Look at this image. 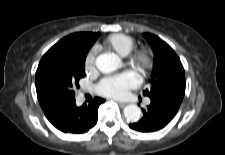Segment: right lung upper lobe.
Instances as JSON below:
<instances>
[{
	"instance_id": "1",
	"label": "right lung upper lobe",
	"mask_w": 225,
	"mask_h": 155,
	"mask_svg": "<svg viewBox=\"0 0 225 155\" xmlns=\"http://www.w3.org/2000/svg\"><path fill=\"white\" fill-rule=\"evenodd\" d=\"M98 37L99 33H73L58 41L42 57L38 69L36 71V91L42 109H45L58 101L55 98L51 97L44 90L43 86L39 81L38 72L43 63L56 56L67 57L73 55L74 53H82L86 55L90 47L94 44Z\"/></svg>"
}]
</instances>
